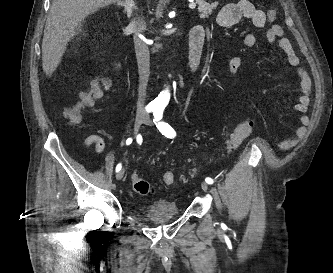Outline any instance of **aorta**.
Segmentation results:
<instances>
[{
  "instance_id": "aorta-1",
  "label": "aorta",
  "mask_w": 333,
  "mask_h": 273,
  "mask_svg": "<svg viewBox=\"0 0 333 273\" xmlns=\"http://www.w3.org/2000/svg\"><path fill=\"white\" fill-rule=\"evenodd\" d=\"M169 92L167 90L162 91L159 96L156 98V103L158 104H164L169 100Z\"/></svg>"
}]
</instances>
